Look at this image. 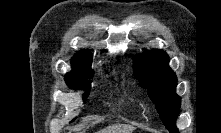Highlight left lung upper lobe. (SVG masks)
I'll list each match as a JSON object with an SVG mask.
<instances>
[{
    "instance_id": "1",
    "label": "left lung upper lobe",
    "mask_w": 221,
    "mask_h": 133,
    "mask_svg": "<svg viewBox=\"0 0 221 133\" xmlns=\"http://www.w3.org/2000/svg\"><path fill=\"white\" fill-rule=\"evenodd\" d=\"M168 55L162 50H153L137 55L134 59V74L140 86L147 89L156 104L160 117L171 133H178L175 126L181 99L175 93L177 79L169 67Z\"/></svg>"
}]
</instances>
